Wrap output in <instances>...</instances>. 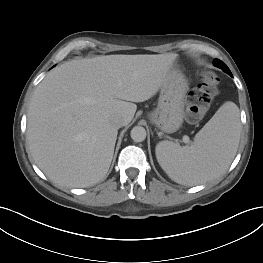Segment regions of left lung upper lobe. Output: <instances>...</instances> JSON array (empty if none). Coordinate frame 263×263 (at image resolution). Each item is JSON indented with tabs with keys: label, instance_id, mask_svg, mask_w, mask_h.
<instances>
[{
	"label": "left lung upper lobe",
	"instance_id": "5c2ea615",
	"mask_svg": "<svg viewBox=\"0 0 263 263\" xmlns=\"http://www.w3.org/2000/svg\"><path fill=\"white\" fill-rule=\"evenodd\" d=\"M214 65H215L216 67L221 68V69H222L224 72H226L228 75L232 76L231 71L229 70V68L227 67V65H226L224 62H222V61H220V60H218V59H215V60H214Z\"/></svg>",
	"mask_w": 263,
	"mask_h": 263
}]
</instances>
